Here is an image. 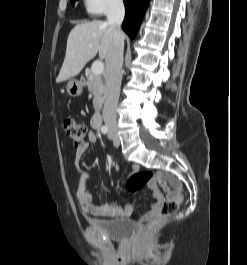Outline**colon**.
<instances>
[{"label":"colon","mask_w":247,"mask_h":265,"mask_svg":"<svg viewBox=\"0 0 247 265\" xmlns=\"http://www.w3.org/2000/svg\"><path fill=\"white\" fill-rule=\"evenodd\" d=\"M66 134L72 140L76 148L86 144L88 138V129L84 123L74 118H66L63 122ZM175 186L176 195L174 198L164 200L158 210V213L152 217L145 226V231L150 232L162 225L165 219L173 216L182 201L181 188L177 181L165 173H153L151 171H138L132 174L127 181V189L131 193H137L144 187H149L151 191L156 189H167L168 186Z\"/></svg>","instance_id":"5ec220e1"}]
</instances>
